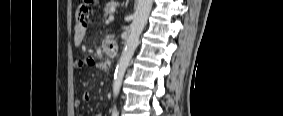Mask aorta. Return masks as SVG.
<instances>
[{"mask_svg":"<svg viewBox=\"0 0 283 116\" xmlns=\"http://www.w3.org/2000/svg\"><path fill=\"white\" fill-rule=\"evenodd\" d=\"M153 0H137L134 19L130 25V33L126 40L119 62L116 66L113 81V95L116 98L120 92L125 71L139 44V37L149 17Z\"/></svg>","mask_w":283,"mask_h":116,"instance_id":"1","label":"aorta"}]
</instances>
